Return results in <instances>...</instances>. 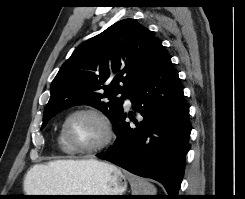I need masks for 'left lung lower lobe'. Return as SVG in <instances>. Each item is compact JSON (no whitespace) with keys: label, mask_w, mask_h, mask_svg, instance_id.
<instances>
[{"label":"left lung lower lobe","mask_w":245,"mask_h":199,"mask_svg":"<svg viewBox=\"0 0 245 199\" xmlns=\"http://www.w3.org/2000/svg\"><path fill=\"white\" fill-rule=\"evenodd\" d=\"M128 97L137 114L130 112V124L122 109L112 122L116 142L97 157L159 181L168 198L175 199L184 176L191 126L178 71L166 50Z\"/></svg>","instance_id":"left-lung-lower-lobe-1"}]
</instances>
